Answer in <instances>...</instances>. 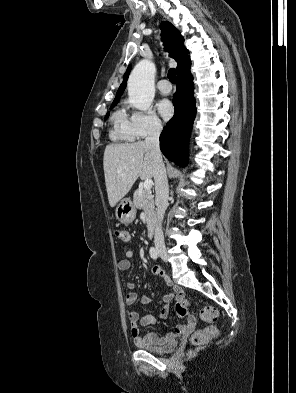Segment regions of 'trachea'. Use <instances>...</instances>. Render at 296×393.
Here are the masks:
<instances>
[{
	"label": "trachea",
	"instance_id": "1",
	"mask_svg": "<svg viewBox=\"0 0 296 393\" xmlns=\"http://www.w3.org/2000/svg\"><path fill=\"white\" fill-rule=\"evenodd\" d=\"M168 78L172 83H176L177 82V78H176V71L175 69L171 68L168 71Z\"/></svg>",
	"mask_w": 296,
	"mask_h": 393
}]
</instances>
